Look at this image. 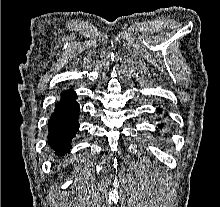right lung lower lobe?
Returning <instances> with one entry per match:
<instances>
[{
    "instance_id": "1",
    "label": "right lung lower lobe",
    "mask_w": 220,
    "mask_h": 207,
    "mask_svg": "<svg viewBox=\"0 0 220 207\" xmlns=\"http://www.w3.org/2000/svg\"><path fill=\"white\" fill-rule=\"evenodd\" d=\"M76 98L72 89L63 92L48 123V143L58 155L69 151L70 141L79 128V106Z\"/></svg>"
}]
</instances>
